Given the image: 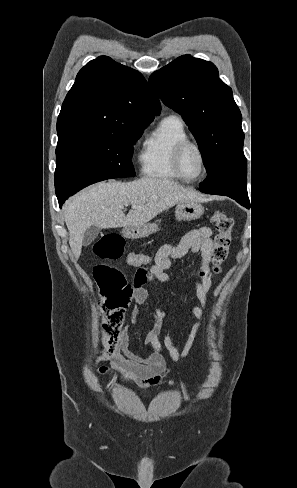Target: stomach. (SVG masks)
Masks as SVG:
<instances>
[{"mask_svg": "<svg viewBox=\"0 0 297 488\" xmlns=\"http://www.w3.org/2000/svg\"><path fill=\"white\" fill-rule=\"evenodd\" d=\"M204 214V206L199 201H186L177 205L175 217L179 221L199 219ZM158 231L156 223H146L139 226H128L123 229L127 238H144Z\"/></svg>", "mask_w": 297, "mask_h": 488, "instance_id": "stomach-1", "label": "stomach"}]
</instances>
